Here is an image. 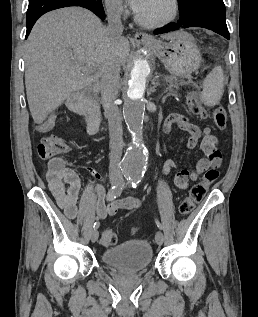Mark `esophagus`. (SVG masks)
<instances>
[{
	"label": "esophagus",
	"mask_w": 258,
	"mask_h": 317,
	"mask_svg": "<svg viewBox=\"0 0 258 317\" xmlns=\"http://www.w3.org/2000/svg\"><path fill=\"white\" fill-rule=\"evenodd\" d=\"M135 40H149L152 39L150 35L144 32H136L134 35Z\"/></svg>",
	"instance_id": "34e87169"
}]
</instances>
